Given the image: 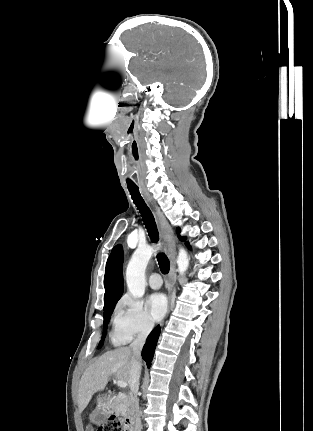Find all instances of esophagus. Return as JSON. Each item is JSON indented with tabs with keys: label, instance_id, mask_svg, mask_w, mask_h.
Segmentation results:
<instances>
[{
	"label": "esophagus",
	"instance_id": "34e87169",
	"mask_svg": "<svg viewBox=\"0 0 313 431\" xmlns=\"http://www.w3.org/2000/svg\"><path fill=\"white\" fill-rule=\"evenodd\" d=\"M144 196L157 219L160 236L164 244V249L167 257L170 260V271H169L167 286H168L169 301H170L169 310H172L174 305V286H175V275H176L174 235L171 227L169 226L167 219L165 218V216L163 215V213L161 212L157 204L154 202L152 197L147 192H144Z\"/></svg>",
	"mask_w": 313,
	"mask_h": 431
}]
</instances>
